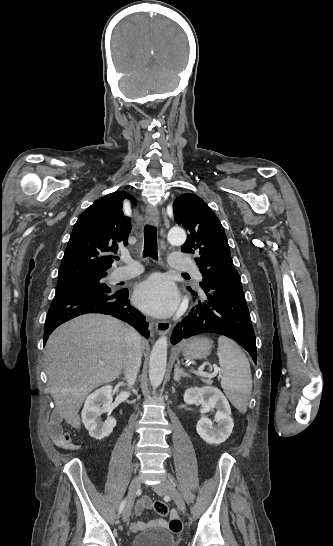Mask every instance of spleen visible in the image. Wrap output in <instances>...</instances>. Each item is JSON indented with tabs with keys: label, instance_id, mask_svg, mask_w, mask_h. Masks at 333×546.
<instances>
[{
	"label": "spleen",
	"instance_id": "spleen-1",
	"mask_svg": "<svg viewBox=\"0 0 333 546\" xmlns=\"http://www.w3.org/2000/svg\"><path fill=\"white\" fill-rule=\"evenodd\" d=\"M221 387L233 406L241 413L247 411L252 391V376L249 361L242 349L231 339L218 338Z\"/></svg>",
	"mask_w": 333,
	"mask_h": 546
}]
</instances>
